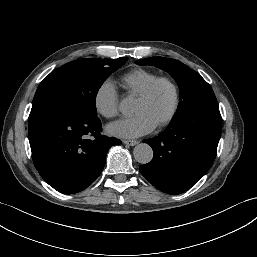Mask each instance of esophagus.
Returning a JSON list of instances; mask_svg holds the SVG:
<instances>
[{
	"label": "esophagus",
	"mask_w": 257,
	"mask_h": 257,
	"mask_svg": "<svg viewBox=\"0 0 257 257\" xmlns=\"http://www.w3.org/2000/svg\"><path fill=\"white\" fill-rule=\"evenodd\" d=\"M123 143L129 146H135L137 145L139 142L137 140H123Z\"/></svg>",
	"instance_id": "1"
}]
</instances>
